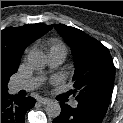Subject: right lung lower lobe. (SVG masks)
Returning a JSON list of instances; mask_svg holds the SVG:
<instances>
[{"mask_svg":"<svg viewBox=\"0 0 123 123\" xmlns=\"http://www.w3.org/2000/svg\"><path fill=\"white\" fill-rule=\"evenodd\" d=\"M36 100L22 98L8 93L1 95V123H24L27 110L31 109Z\"/></svg>","mask_w":123,"mask_h":123,"instance_id":"1","label":"right lung lower lobe"}]
</instances>
